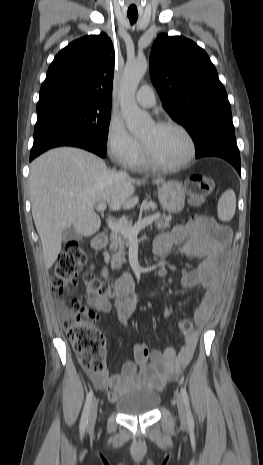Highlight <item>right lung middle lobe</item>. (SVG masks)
Instances as JSON below:
<instances>
[{"label":"right lung middle lobe","instance_id":"dd1d6c3e","mask_svg":"<svg viewBox=\"0 0 263 465\" xmlns=\"http://www.w3.org/2000/svg\"><path fill=\"white\" fill-rule=\"evenodd\" d=\"M110 112L111 104L95 100L58 97L38 102L34 142L53 134L74 133L106 151Z\"/></svg>","mask_w":263,"mask_h":465}]
</instances>
